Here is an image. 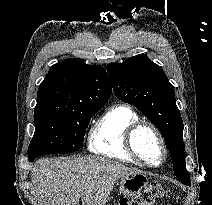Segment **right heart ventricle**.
Segmentation results:
<instances>
[{"mask_svg":"<svg viewBox=\"0 0 212 205\" xmlns=\"http://www.w3.org/2000/svg\"><path fill=\"white\" fill-rule=\"evenodd\" d=\"M137 121L138 114L131 107L124 104L111 106L93 124L88 149L120 161L138 163L126 147L127 131Z\"/></svg>","mask_w":212,"mask_h":205,"instance_id":"1","label":"right heart ventricle"}]
</instances>
